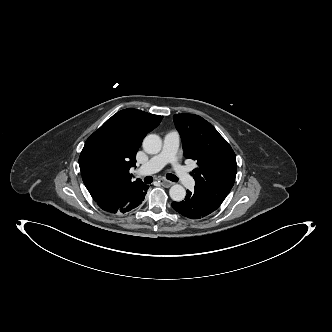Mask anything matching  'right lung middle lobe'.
<instances>
[{
    "label": "right lung middle lobe",
    "instance_id": "1",
    "mask_svg": "<svg viewBox=\"0 0 332 332\" xmlns=\"http://www.w3.org/2000/svg\"><path fill=\"white\" fill-rule=\"evenodd\" d=\"M114 149V140L110 133L105 132L96 138L95 142L89 149V156L96 162H104L110 158Z\"/></svg>",
    "mask_w": 332,
    "mask_h": 332
}]
</instances>
